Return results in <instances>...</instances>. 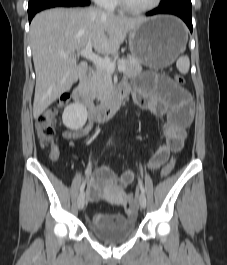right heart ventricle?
Here are the masks:
<instances>
[{
  "label": "right heart ventricle",
  "instance_id": "obj_1",
  "mask_svg": "<svg viewBox=\"0 0 227 265\" xmlns=\"http://www.w3.org/2000/svg\"><path fill=\"white\" fill-rule=\"evenodd\" d=\"M117 6H118V0H113V2H112V6H111L110 9H113V8H115V7H117Z\"/></svg>",
  "mask_w": 227,
  "mask_h": 265
}]
</instances>
